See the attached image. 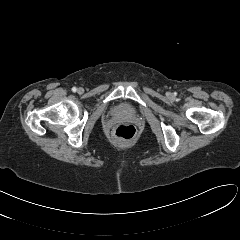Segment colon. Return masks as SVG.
<instances>
[{"instance_id": "1", "label": "colon", "mask_w": 240, "mask_h": 240, "mask_svg": "<svg viewBox=\"0 0 240 240\" xmlns=\"http://www.w3.org/2000/svg\"><path fill=\"white\" fill-rule=\"evenodd\" d=\"M113 135L121 140H131L136 135V128L132 124L120 123L114 126Z\"/></svg>"}]
</instances>
